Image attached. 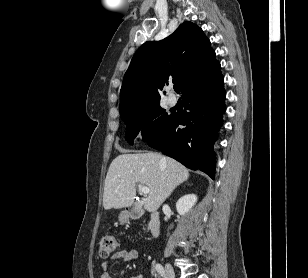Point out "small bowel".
<instances>
[{
    "label": "small bowel",
    "instance_id": "obj_1",
    "mask_svg": "<svg viewBox=\"0 0 308 278\" xmlns=\"http://www.w3.org/2000/svg\"><path fill=\"white\" fill-rule=\"evenodd\" d=\"M138 255L139 252L136 249H122L115 252L111 256L110 260L112 262H128L137 259ZM101 267H102V273L100 275V278H111L108 273L109 262L102 263ZM130 278H144V276L142 274H138Z\"/></svg>",
    "mask_w": 308,
    "mask_h": 278
}]
</instances>
